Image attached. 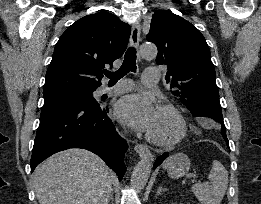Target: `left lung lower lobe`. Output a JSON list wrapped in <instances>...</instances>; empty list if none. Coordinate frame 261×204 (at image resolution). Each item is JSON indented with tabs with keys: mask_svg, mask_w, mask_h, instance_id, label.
<instances>
[{
	"mask_svg": "<svg viewBox=\"0 0 261 204\" xmlns=\"http://www.w3.org/2000/svg\"><path fill=\"white\" fill-rule=\"evenodd\" d=\"M223 138L225 139V141L227 142L228 139L226 137L225 133H222ZM168 152L163 153L161 156L157 157L155 164H154V168H156L157 166H159L167 157H168Z\"/></svg>",
	"mask_w": 261,
	"mask_h": 204,
	"instance_id": "left-lung-lower-lobe-1",
	"label": "left lung lower lobe"
}]
</instances>
